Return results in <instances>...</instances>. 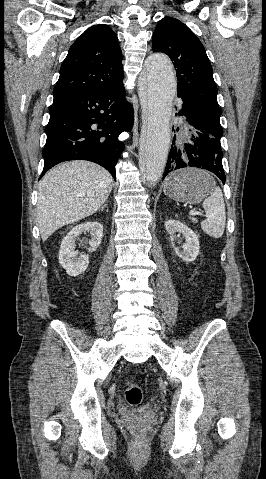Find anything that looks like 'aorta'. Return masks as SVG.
Masks as SVG:
<instances>
[{
    "mask_svg": "<svg viewBox=\"0 0 266 479\" xmlns=\"http://www.w3.org/2000/svg\"><path fill=\"white\" fill-rule=\"evenodd\" d=\"M140 98L145 104L146 178L150 186L160 180L170 146V118L176 94V79L170 60L163 54H152L145 62L139 81Z\"/></svg>",
    "mask_w": 266,
    "mask_h": 479,
    "instance_id": "1",
    "label": "aorta"
}]
</instances>
